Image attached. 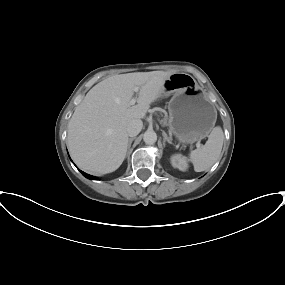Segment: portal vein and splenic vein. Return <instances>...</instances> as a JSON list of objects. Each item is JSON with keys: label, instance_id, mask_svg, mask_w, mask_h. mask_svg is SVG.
<instances>
[{"label": "portal vein and splenic vein", "instance_id": "obj_1", "mask_svg": "<svg viewBox=\"0 0 285 285\" xmlns=\"http://www.w3.org/2000/svg\"><path fill=\"white\" fill-rule=\"evenodd\" d=\"M134 92H138L139 91V87H134ZM136 103V98H132L131 100H130V105H134ZM200 146V144H198V147Z\"/></svg>", "mask_w": 285, "mask_h": 285}]
</instances>
